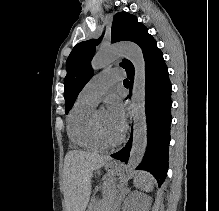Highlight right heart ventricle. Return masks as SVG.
<instances>
[{
  "label": "right heart ventricle",
  "instance_id": "e07e8e85",
  "mask_svg": "<svg viewBox=\"0 0 219 211\" xmlns=\"http://www.w3.org/2000/svg\"><path fill=\"white\" fill-rule=\"evenodd\" d=\"M96 104L77 99L67 118V132L70 140L80 147L98 151L107 147L95 133L92 126V113Z\"/></svg>",
  "mask_w": 219,
  "mask_h": 211
}]
</instances>
